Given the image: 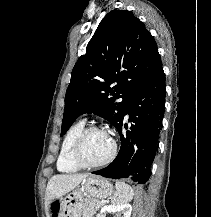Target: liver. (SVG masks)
Segmentation results:
<instances>
[{"instance_id": "6515ba94", "label": "liver", "mask_w": 211, "mask_h": 217, "mask_svg": "<svg viewBox=\"0 0 211 217\" xmlns=\"http://www.w3.org/2000/svg\"><path fill=\"white\" fill-rule=\"evenodd\" d=\"M88 174H58L48 182L45 194V211L49 217L51 204L58 198L74 190Z\"/></svg>"}]
</instances>
